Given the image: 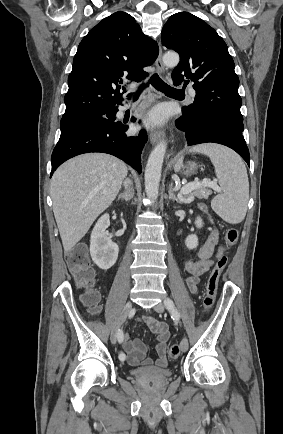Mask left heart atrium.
<instances>
[{
  "instance_id": "obj_1",
  "label": "left heart atrium",
  "mask_w": 283,
  "mask_h": 434,
  "mask_svg": "<svg viewBox=\"0 0 283 434\" xmlns=\"http://www.w3.org/2000/svg\"><path fill=\"white\" fill-rule=\"evenodd\" d=\"M167 117V109L163 106H158L149 112L145 119V124L148 127L159 126L167 120Z\"/></svg>"
}]
</instances>
